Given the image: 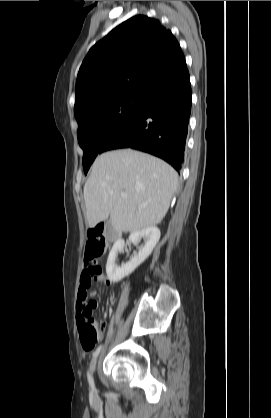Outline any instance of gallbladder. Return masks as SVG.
Wrapping results in <instances>:
<instances>
[{"mask_svg": "<svg viewBox=\"0 0 271 418\" xmlns=\"http://www.w3.org/2000/svg\"><path fill=\"white\" fill-rule=\"evenodd\" d=\"M106 231H107V234L110 236L117 237L119 235V232L114 229L110 221H107L106 223Z\"/></svg>", "mask_w": 271, "mask_h": 418, "instance_id": "obj_1", "label": "gallbladder"}]
</instances>
